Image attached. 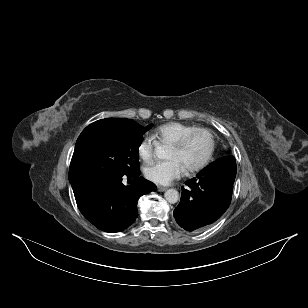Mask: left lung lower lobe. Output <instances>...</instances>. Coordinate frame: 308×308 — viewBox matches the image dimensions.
I'll list each match as a JSON object with an SVG mask.
<instances>
[{
	"mask_svg": "<svg viewBox=\"0 0 308 308\" xmlns=\"http://www.w3.org/2000/svg\"><path fill=\"white\" fill-rule=\"evenodd\" d=\"M234 156H224L206 167L196 178L186 181L173 214L186 231H199L221 217L231 203L236 176Z\"/></svg>",
	"mask_w": 308,
	"mask_h": 308,
	"instance_id": "obj_1",
	"label": "left lung lower lobe"
}]
</instances>
